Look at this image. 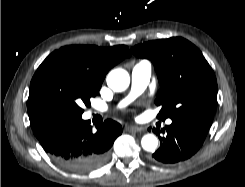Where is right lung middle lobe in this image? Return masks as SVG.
Listing matches in <instances>:
<instances>
[{
	"label": "right lung middle lobe",
	"instance_id": "obj_1",
	"mask_svg": "<svg viewBox=\"0 0 245 187\" xmlns=\"http://www.w3.org/2000/svg\"><path fill=\"white\" fill-rule=\"evenodd\" d=\"M101 85L70 61L49 55L35 72L28 99L31 127L61 116H81Z\"/></svg>",
	"mask_w": 245,
	"mask_h": 187
}]
</instances>
